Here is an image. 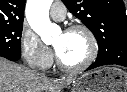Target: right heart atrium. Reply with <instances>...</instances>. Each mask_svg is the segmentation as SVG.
Wrapping results in <instances>:
<instances>
[{
  "label": "right heart atrium",
  "instance_id": "d8ad5b80",
  "mask_svg": "<svg viewBox=\"0 0 127 92\" xmlns=\"http://www.w3.org/2000/svg\"><path fill=\"white\" fill-rule=\"evenodd\" d=\"M20 46L22 57L27 65L34 68L46 69L52 64L53 54L51 50L31 29H23Z\"/></svg>",
  "mask_w": 127,
  "mask_h": 92
}]
</instances>
